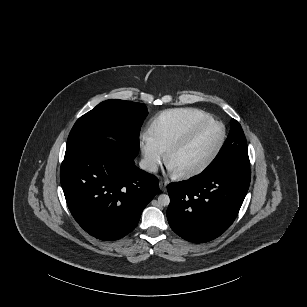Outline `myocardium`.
I'll return each mask as SVG.
<instances>
[{"mask_svg": "<svg viewBox=\"0 0 307 307\" xmlns=\"http://www.w3.org/2000/svg\"><path fill=\"white\" fill-rule=\"evenodd\" d=\"M215 123H221L224 126V136H223L221 142L219 143V145L217 146V148L214 150V152L205 161H203L199 165H197V166H195L191 169L185 170L183 172H180V173H174V175L177 179H186V178H190V177H193L195 175H198V174L202 173L203 171H205L206 169H208L217 160V158L221 154V152H222V150H223V148H224V146L227 142V138H228L227 125L222 120H215V119L210 120V121L206 122L205 124L196 128L185 139L178 142L177 144H175L172 148H170L167 151L166 164H167V167L170 169V162L173 159V157L176 156L177 154H179L184 149L191 146L205 130H207L211 125H213Z\"/></svg>", "mask_w": 307, "mask_h": 307, "instance_id": "myocardium-1", "label": "myocardium"}]
</instances>
